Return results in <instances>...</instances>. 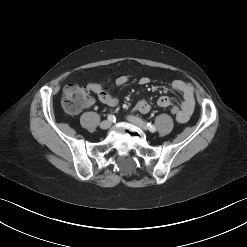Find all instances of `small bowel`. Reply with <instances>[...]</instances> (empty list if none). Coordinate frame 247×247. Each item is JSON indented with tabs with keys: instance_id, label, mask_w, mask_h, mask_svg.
Instances as JSON below:
<instances>
[{
	"instance_id": "obj_1",
	"label": "small bowel",
	"mask_w": 247,
	"mask_h": 247,
	"mask_svg": "<svg viewBox=\"0 0 247 247\" xmlns=\"http://www.w3.org/2000/svg\"><path fill=\"white\" fill-rule=\"evenodd\" d=\"M116 82L118 85H124L128 82V77L120 76L117 78ZM149 82L150 79L148 77H142L139 80V83L141 85H146ZM171 86L175 91L179 92L182 95L180 112L176 119L179 123H186L192 115L195 107L194 88L190 83L181 79L174 80ZM87 89L95 94V96L101 103L109 107H114L117 104V99L114 97L110 89L103 87L96 82H89L87 84ZM94 102V98H89L86 106H91L92 104H94ZM157 105L161 108L169 107L171 105L170 97L161 96L157 100ZM134 110L146 114L151 110V105L146 100L140 99L136 103Z\"/></svg>"
}]
</instances>
